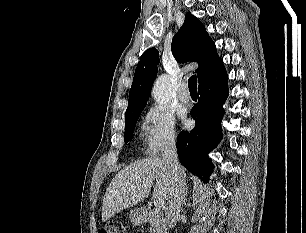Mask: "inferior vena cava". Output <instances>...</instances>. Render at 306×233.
I'll list each match as a JSON object with an SVG mask.
<instances>
[{"mask_svg":"<svg viewBox=\"0 0 306 233\" xmlns=\"http://www.w3.org/2000/svg\"><path fill=\"white\" fill-rule=\"evenodd\" d=\"M162 157L171 171V188L167 198L165 216L168 226L173 228L180 214V206L185 194V172L177 157L175 138L170 137L164 146Z\"/></svg>","mask_w":306,"mask_h":233,"instance_id":"obj_1","label":"inferior vena cava"}]
</instances>
